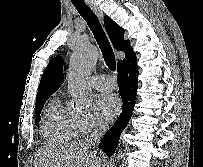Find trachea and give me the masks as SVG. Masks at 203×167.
Here are the masks:
<instances>
[{
	"mask_svg": "<svg viewBox=\"0 0 203 167\" xmlns=\"http://www.w3.org/2000/svg\"><path fill=\"white\" fill-rule=\"evenodd\" d=\"M73 4L76 7L77 11L80 13V15L84 18V20L88 24L90 30L92 31L99 45V48L101 49L106 65L111 71H115L116 70L115 55L97 16L85 3L73 2Z\"/></svg>",
	"mask_w": 203,
	"mask_h": 167,
	"instance_id": "trachea-1",
	"label": "trachea"
}]
</instances>
